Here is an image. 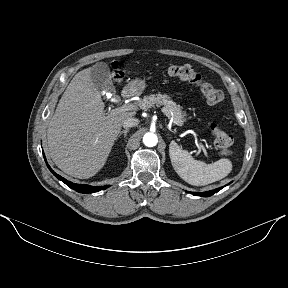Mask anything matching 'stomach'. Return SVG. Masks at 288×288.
Segmentation results:
<instances>
[{
  "mask_svg": "<svg viewBox=\"0 0 288 288\" xmlns=\"http://www.w3.org/2000/svg\"><path fill=\"white\" fill-rule=\"evenodd\" d=\"M146 88V82L143 79H134L130 81L126 87L125 90L130 94V95H140L143 90Z\"/></svg>",
  "mask_w": 288,
  "mask_h": 288,
  "instance_id": "obj_1",
  "label": "stomach"
}]
</instances>
